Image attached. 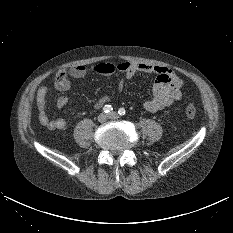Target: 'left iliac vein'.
Masks as SVG:
<instances>
[{
	"label": "left iliac vein",
	"mask_w": 233,
	"mask_h": 233,
	"mask_svg": "<svg viewBox=\"0 0 233 233\" xmlns=\"http://www.w3.org/2000/svg\"><path fill=\"white\" fill-rule=\"evenodd\" d=\"M108 117L110 119H116V118H118V114L116 112H111L108 114Z\"/></svg>",
	"instance_id": "1"
}]
</instances>
